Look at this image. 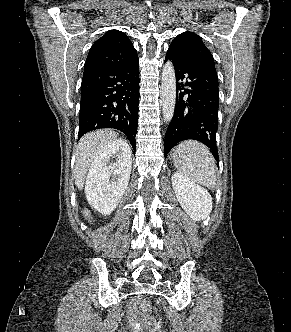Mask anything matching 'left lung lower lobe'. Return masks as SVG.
<instances>
[{"instance_id":"left-lung-lower-lobe-1","label":"left lung lower lobe","mask_w":291,"mask_h":332,"mask_svg":"<svg viewBox=\"0 0 291 332\" xmlns=\"http://www.w3.org/2000/svg\"><path fill=\"white\" fill-rule=\"evenodd\" d=\"M167 60L173 64L177 90L174 115L165 135V157L178 142L193 139L209 147L219 162L216 145L219 89L214 61L206 57L186 59L170 48Z\"/></svg>"}]
</instances>
